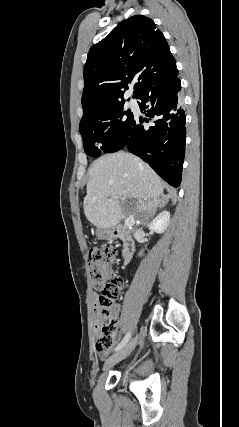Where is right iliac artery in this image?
<instances>
[{
    "instance_id": "1",
    "label": "right iliac artery",
    "mask_w": 239,
    "mask_h": 427,
    "mask_svg": "<svg viewBox=\"0 0 239 427\" xmlns=\"http://www.w3.org/2000/svg\"><path fill=\"white\" fill-rule=\"evenodd\" d=\"M130 337H131V333L130 332H128L126 335H125V337L123 338V340L119 343V345L116 347V349H115V351H118V350H120V349H122L127 343H128V341L130 340Z\"/></svg>"
}]
</instances>
